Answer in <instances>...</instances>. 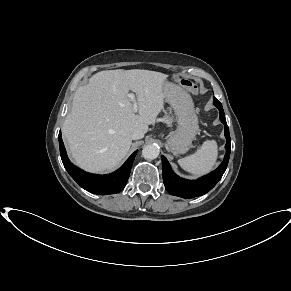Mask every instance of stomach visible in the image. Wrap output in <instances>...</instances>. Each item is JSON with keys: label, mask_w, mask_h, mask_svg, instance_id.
Masks as SVG:
<instances>
[{"label": "stomach", "mask_w": 291, "mask_h": 291, "mask_svg": "<svg viewBox=\"0 0 291 291\" xmlns=\"http://www.w3.org/2000/svg\"><path fill=\"white\" fill-rule=\"evenodd\" d=\"M166 101L173 108L177 129L168 136V144L175 154H183L191 147L199 126L194 104L189 93L180 85L166 82L164 84Z\"/></svg>", "instance_id": "0dacf381"}]
</instances>
